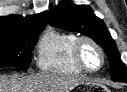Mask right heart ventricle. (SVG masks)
Masks as SVG:
<instances>
[{
    "label": "right heart ventricle",
    "instance_id": "obj_1",
    "mask_svg": "<svg viewBox=\"0 0 127 92\" xmlns=\"http://www.w3.org/2000/svg\"><path fill=\"white\" fill-rule=\"evenodd\" d=\"M78 35L71 31L47 29L42 35L37 50V67L47 73L78 75L82 70L73 59V48Z\"/></svg>",
    "mask_w": 127,
    "mask_h": 92
}]
</instances>
